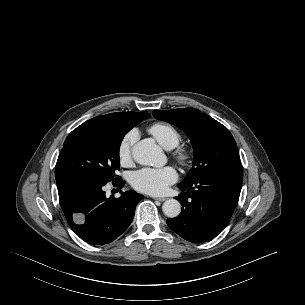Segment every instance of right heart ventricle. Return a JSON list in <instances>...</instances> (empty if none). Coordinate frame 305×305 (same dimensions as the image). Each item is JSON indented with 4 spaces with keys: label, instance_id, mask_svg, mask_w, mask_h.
<instances>
[{
    "label": "right heart ventricle",
    "instance_id": "right-heart-ventricle-1",
    "mask_svg": "<svg viewBox=\"0 0 305 305\" xmlns=\"http://www.w3.org/2000/svg\"><path fill=\"white\" fill-rule=\"evenodd\" d=\"M149 133L165 149H173L181 141L180 132L170 124L157 122L148 127Z\"/></svg>",
    "mask_w": 305,
    "mask_h": 305
}]
</instances>
